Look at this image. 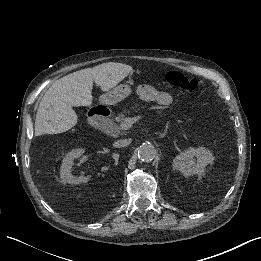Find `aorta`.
Returning <instances> with one entry per match:
<instances>
[{
	"label": "aorta",
	"instance_id": "aorta-1",
	"mask_svg": "<svg viewBox=\"0 0 261 261\" xmlns=\"http://www.w3.org/2000/svg\"><path fill=\"white\" fill-rule=\"evenodd\" d=\"M155 147L151 143H143L138 147V157L140 160L149 162L155 158Z\"/></svg>",
	"mask_w": 261,
	"mask_h": 261
}]
</instances>
